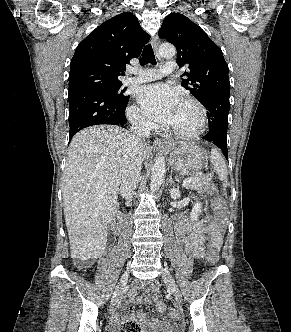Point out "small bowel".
<instances>
[{
  "mask_svg": "<svg viewBox=\"0 0 291 332\" xmlns=\"http://www.w3.org/2000/svg\"><path fill=\"white\" fill-rule=\"evenodd\" d=\"M177 237L182 243L190 257L202 259L206 253L205 241L208 238L211 246L219 248L222 240V229L211 218H203L197 225L192 226L185 221H180L176 226ZM137 290L131 291L128 297L129 302L135 301ZM141 301L154 302L157 311L166 310L165 304L160 300L159 295L154 287L150 286L140 298ZM124 320H135L143 322L146 329L150 332H171L173 325L171 321L164 323L158 321H148L147 316L143 313L132 315L128 318H120L115 315L116 323Z\"/></svg>",
  "mask_w": 291,
  "mask_h": 332,
  "instance_id": "obj_1",
  "label": "small bowel"
}]
</instances>
